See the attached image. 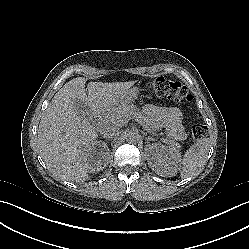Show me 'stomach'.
Segmentation results:
<instances>
[{
    "instance_id": "stomach-1",
    "label": "stomach",
    "mask_w": 249,
    "mask_h": 249,
    "mask_svg": "<svg viewBox=\"0 0 249 249\" xmlns=\"http://www.w3.org/2000/svg\"><path fill=\"white\" fill-rule=\"evenodd\" d=\"M139 94V89L138 88H132L130 89L127 94L125 95V98H123L122 103H127L130 101H133L135 99H137Z\"/></svg>"
}]
</instances>
